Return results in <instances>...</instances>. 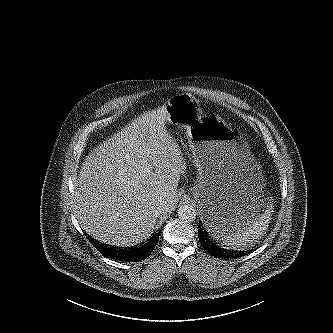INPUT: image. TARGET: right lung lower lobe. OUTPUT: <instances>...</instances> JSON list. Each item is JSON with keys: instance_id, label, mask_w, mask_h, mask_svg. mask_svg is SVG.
I'll list each match as a JSON object with an SVG mask.
<instances>
[{"instance_id": "1", "label": "right lung lower lobe", "mask_w": 333, "mask_h": 333, "mask_svg": "<svg viewBox=\"0 0 333 333\" xmlns=\"http://www.w3.org/2000/svg\"><path fill=\"white\" fill-rule=\"evenodd\" d=\"M159 233L154 234L144 245L130 251H119L111 248L94 245L97 250L105 257L127 262H137L150 256L156 244L158 243Z\"/></svg>"}]
</instances>
